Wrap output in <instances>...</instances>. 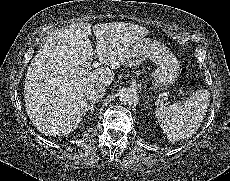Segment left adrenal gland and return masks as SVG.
I'll return each instance as SVG.
<instances>
[{
  "mask_svg": "<svg viewBox=\"0 0 230 181\" xmlns=\"http://www.w3.org/2000/svg\"><path fill=\"white\" fill-rule=\"evenodd\" d=\"M148 102H149V98L146 100V103L148 104Z\"/></svg>",
  "mask_w": 230,
  "mask_h": 181,
  "instance_id": "a2214340",
  "label": "left adrenal gland"
}]
</instances>
